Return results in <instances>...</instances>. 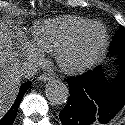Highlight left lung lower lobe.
<instances>
[{
	"mask_svg": "<svg viewBox=\"0 0 125 125\" xmlns=\"http://www.w3.org/2000/svg\"><path fill=\"white\" fill-rule=\"evenodd\" d=\"M111 44L114 45L110 48L116 46L113 41ZM118 55L119 74L114 82L104 81L100 67L65 79L70 96L59 115L63 125L106 124L122 109L125 104V53Z\"/></svg>",
	"mask_w": 125,
	"mask_h": 125,
	"instance_id": "1",
	"label": "left lung lower lobe"
}]
</instances>
